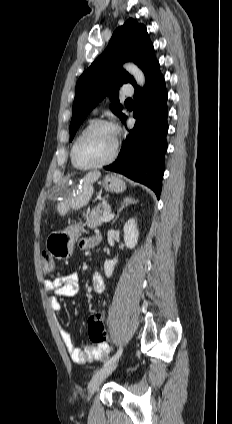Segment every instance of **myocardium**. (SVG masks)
I'll return each mask as SVG.
<instances>
[{
    "instance_id": "myocardium-1",
    "label": "myocardium",
    "mask_w": 232,
    "mask_h": 424,
    "mask_svg": "<svg viewBox=\"0 0 232 424\" xmlns=\"http://www.w3.org/2000/svg\"><path fill=\"white\" fill-rule=\"evenodd\" d=\"M99 127H107V128L112 129L115 132L114 148H113L112 152L110 153V155L108 157H106L105 159H103L102 161L94 163V164H90V165H83L77 159V148H78L79 144L81 143V141L89 133H91L93 130H95ZM119 150H120V137H119L118 129L115 126V124L108 121V120H96V121L92 122L90 125H88L82 131V133L77 137V139L75 140V142L72 146V150H71V159H72L74 166L78 169H81V170L95 169V168H99V167H102L104 165H107V164L111 163L112 161H114L115 158L117 157L118 153H119Z\"/></svg>"
}]
</instances>
